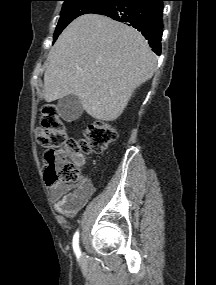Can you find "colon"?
<instances>
[{"label":"colon","mask_w":216,"mask_h":285,"mask_svg":"<svg viewBox=\"0 0 216 285\" xmlns=\"http://www.w3.org/2000/svg\"><path fill=\"white\" fill-rule=\"evenodd\" d=\"M116 136V130L110 124L93 121L86 127L84 139L68 138L57 108L54 105H46L42 110L41 124L36 130V139L41 146L49 148L45 153L47 184L78 181V156L105 151Z\"/></svg>","instance_id":"obj_1"}]
</instances>
